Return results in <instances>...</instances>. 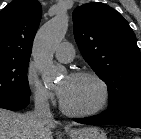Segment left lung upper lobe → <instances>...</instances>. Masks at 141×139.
<instances>
[{"mask_svg": "<svg viewBox=\"0 0 141 139\" xmlns=\"http://www.w3.org/2000/svg\"><path fill=\"white\" fill-rule=\"evenodd\" d=\"M73 23L83 58L107 84L108 108L141 97V54L128 22L98 2L76 8Z\"/></svg>", "mask_w": 141, "mask_h": 139, "instance_id": "obj_1", "label": "left lung upper lobe"}]
</instances>
